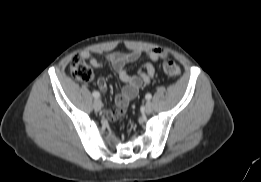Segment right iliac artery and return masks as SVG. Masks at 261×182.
<instances>
[{
    "label": "right iliac artery",
    "instance_id": "obj_1",
    "mask_svg": "<svg viewBox=\"0 0 261 182\" xmlns=\"http://www.w3.org/2000/svg\"><path fill=\"white\" fill-rule=\"evenodd\" d=\"M92 95L95 97V98H99L100 97V93L98 91H93Z\"/></svg>",
    "mask_w": 261,
    "mask_h": 182
}]
</instances>
